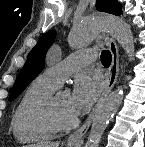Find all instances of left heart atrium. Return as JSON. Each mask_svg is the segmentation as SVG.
Listing matches in <instances>:
<instances>
[{
    "label": "left heart atrium",
    "instance_id": "39dd6f15",
    "mask_svg": "<svg viewBox=\"0 0 145 147\" xmlns=\"http://www.w3.org/2000/svg\"><path fill=\"white\" fill-rule=\"evenodd\" d=\"M102 89L101 80L86 76L77 78L71 94V111L76 117L85 113L94 103Z\"/></svg>",
    "mask_w": 145,
    "mask_h": 147
}]
</instances>
